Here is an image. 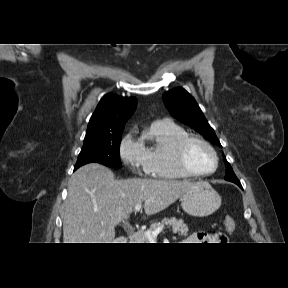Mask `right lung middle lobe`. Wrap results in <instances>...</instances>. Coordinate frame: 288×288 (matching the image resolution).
<instances>
[{
    "instance_id": "dd1d6c3e",
    "label": "right lung middle lobe",
    "mask_w": 288,
    "mask_h": 288,
    "mask_svg": "<svg viewBox=\"0 0 288 288\" xmlns=\"http://www.w3.org/2000/svg\"><path fill=\"white\" fill-rule=\"evenodd\" d=\"M122 132L84 141L74 170L87 163L97 162L109 167L122 166L119 155Z\"/></svg>"
}]
</instances>
